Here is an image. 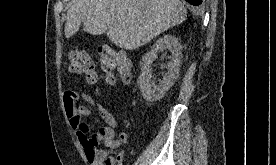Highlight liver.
Here are the masks:
<instances>
[{
    "label": "liver",
    "mask_w": 276,
    "mask_h": 165,
    "mask_svg": "<svg viewBox=\"0 0 276 165\" xmlns=\"http://www.w3.org/2000/svg\"><path fill=\"white\" fill-rule=\"evenodd\" d=\"M186 16L180 0H76L67 12L65 36L70 38L82 23L85 32H107L116 46L134 50Z\"/></svg>",
    "instance_id": "1"
}]
</instances>
